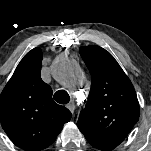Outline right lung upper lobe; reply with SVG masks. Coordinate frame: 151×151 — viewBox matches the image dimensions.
<instances>
[{"mask_svg":"<svg viewBox=\"0 0 151 151\" xmlns=\"http://www.w3.org/2000/svg\"><path fill=\"white\" fill-rule=\"evenodd\" d=\"M42 51H29L0 96V121L11 141L26 151L51 145L70 121L71 112L52 99L51 87L41 79Z\"/></svg>","mask_w":151,"mask_h":151,"instance_id":"obj_1","label":"right lung upper lobe"}]
</instances>
